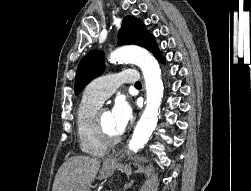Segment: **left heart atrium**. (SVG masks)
I'll return each instance as SVG.
<instances>
[{
	"mask_svg": "<svg viewBox=\"0 0 251 191\" xmlns=\"http://www.w3.org/2000/svg\"><path fill=\"white\" fill-rule=\"evenodd\" d=\"M111 128L116 134L125 131L132 118V108L124 100H117L109 112Z\"/></svg>",
	"mask_w": 251,
	"mask_h": 191,
	"instance_id": "39dd6f15",
	"label": "left heart atrium"
}]
</instances>
